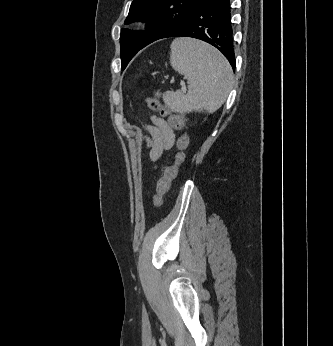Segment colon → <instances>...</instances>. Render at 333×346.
<instances>
[{"label": "colon", "instance_id": "1", "mask_svg": "<svg viewBox=\"0 0 333 346\" xmlns=\"http://www.w3.org/2000/svg\"><path fill=\"white\" fill-rule=\"evenodd\" d=\"M159 93L148 99V105L152 110L160 111L163 115H168L170 123L177 129H182L184 125L183 117L180 115L170 114L166 109L162 108L159 103ZM189 145V138L186 134L180 136L177 141V153L171 164L167 165L163 170V175L157 180L156 191L153 197L155 205H160L163 202L165 193L170 189L171 183L176 179L180 165L184 162L185 151Z\"/></svg>", "mask_w": 333, "mask_h": 346}]
</instances>
